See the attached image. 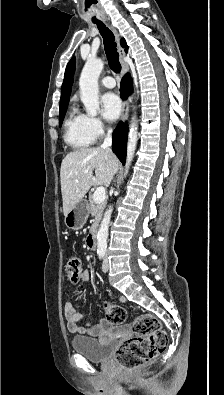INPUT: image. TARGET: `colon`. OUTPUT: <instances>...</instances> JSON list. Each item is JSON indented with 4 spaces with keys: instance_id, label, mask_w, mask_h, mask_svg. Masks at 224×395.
Here are the masks:
<instances>
[{
    "instance_id": "colon-1",
    "label": "colon",
    "mask_w": 224,
    "mask_h": 395,
    "mask_svg": "<svg viewBox=\"0 0 224 395\" xmlns=\"http://www.w3.org/2000/svg\"><path fill=\"white\" fill-rule=\"evenodd\" d=\"M66 272L76 281L82 273V263L78 257H70ZM106 318L112 324L121 325L126 321L125 309L115 303H105ZM135 336L121 344L116 352V360L123 369H137L159 356L167 347L168 336L160 322L144 313L133 318L131 323Z\"/></svg>"
}]
</instances>
